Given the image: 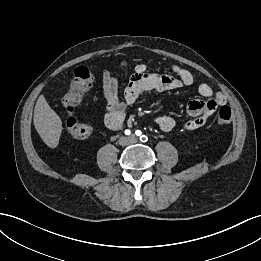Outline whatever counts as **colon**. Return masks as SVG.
I'll use <instances>...</instances> for the list:
<instances>
[{"instance_id":"5ec220e1","label":"colon","mask_w":261,"mask_h":261,"mask_svg":"<svg viewBox=\"0 0 261 261\" xmlns=\"http://www.w3.org/2000/svg\"><path fill=\"white\" fill-rule=\"evenodd\" d=\"M92 74L88 67L78 66L74 70V77L71 89L63 98V105L68 113L65 127L69 135L75 139H85L91 134V126L78 121L73 115V111L79 101V95L85 92L92 83ZM233 113L229 106L223 105L218 113V124L226 125L232 121Z\"/></svg>"}]
</instances>
